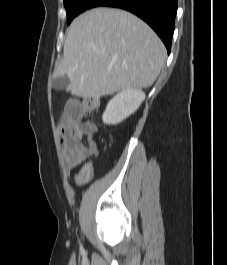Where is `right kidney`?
<instances>
[{
  "label": "right kidney",
  "instance_id": "1",
  "mask_svg": "<svg viewBox=\"0 0 227 265\" xmlns=\"http://www.w3.org/2000/svg\"><path fill=\"white\" fill-rule=\"evenodd\" d=\"M145 99L140 89H126L115 95L107 104L103 114V122L116 125L133 114Z\"/></svg>",
  "mask_w": 227,
  "mask_h": 265
}]
</instances>
